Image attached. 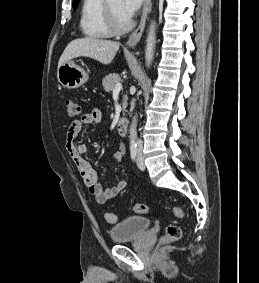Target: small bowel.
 <instances>
[{
	"mask_svg": "<svg viewBox=\"0 0 259 283\" xmlns=\"http://www.w3.org/2000/svg\"><path fill=\"white\" fill-rule=\"evenodd\" d=\"M101 118V110L93 109L91 112L84 114L80 119L72 121L67 130L65 149L69 158L76 165L89 193L95 197L98 203L104 204L129 188L130 184L127 181L121 180L115 186L104 188L98 182L97 175L91 164L83 157L87 151V146L85 144H75V140L83 127L97 124L101 121ZM113 156L116 160L125 158L126 148L123 142L118 143Z\"/></svg>",
	"mask_w": 259,
	"mask_h": 283,
	"instance_id": "small-bowel-1",
	"label": "small bowel"
}]
</instances>
